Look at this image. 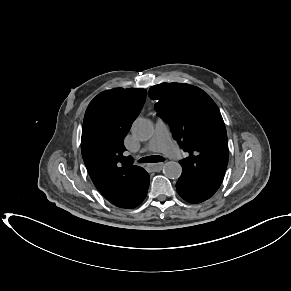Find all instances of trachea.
Segmentation results:
<instances>
[{
	"label": "trachea",
	"instance_id": "3493384b",
	"mask_svg": "<svg viewBox=\"0 0 291 291\" xmlns=\"http://www.w3.org/2000/svg\"><path fill=\"white\" fill-rule=\"evenodd\" d=\"M163 161H164V158L158 155H154L150 157H143L139 160V162H142V163H148V162L156 163V162H163Z\"/></svg>",
	"mask_w": 291,
	"mask_h": 291
}]
</instances>
